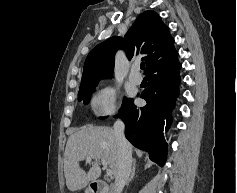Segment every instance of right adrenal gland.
Masks as SVG:
<instances>
[{"mask_svg":"<svg viewBox=\"0 0 237 193\" xmlns=\"http://www.w3.org/2000/svg\"><path fill=\"white\" fill-rule=\"evenodd\" d=\"M135 170H136V160L134 159L133 160V167H132L131 175H130V177L128 178V180L126 182V185H128L132 181V179L134 178Z\"/></svg>","mask_w":237,"mask_h":193,"instance_id":"obj_1","label":"right adrenal gland"}]
</instances>
